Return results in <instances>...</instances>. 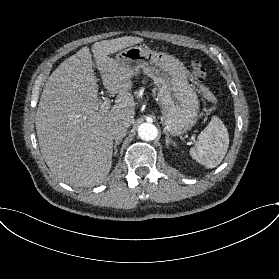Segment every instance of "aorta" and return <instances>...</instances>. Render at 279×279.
I'll list each match as a JSON object with an SVG mask.
<instances>
[{"label": "aorta", "instance_id": "762f6f07", "mask_svg": "<svg viewBox=\"0 0 279 279\" xmlns=\"http://www.w3.org/2000/svg\"><path fill=\"white\" fill-rule=\"evenodd\" d=\"M158 130L152 123H142L138 127V135L144 141H152L157 137Z\"/></svg>", "mask_w": 279, "mask_h": 279}]
</instances>
